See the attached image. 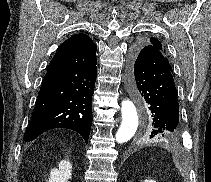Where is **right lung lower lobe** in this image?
Listing matches in <instances>:
<instances>
[{"label": "right lung lower lobe", "mask_w": 211, "mask_h": 182, "mask_svg": "<svg viewBox=\"0 0 211 182\" xmlns=\"http://www.w3.org/2000/svg\"><path fill=\"white\" fill-rule=\"evenodd\" d=\"M96 76L95 43L85 34L63 42L48 66L24 141L50 129L68 128L87 143Z\"/></svg>", "instance_id": "right-lung-lower-lobe-1"}]
</instances>
